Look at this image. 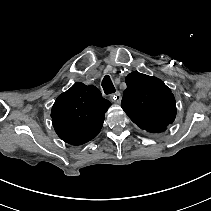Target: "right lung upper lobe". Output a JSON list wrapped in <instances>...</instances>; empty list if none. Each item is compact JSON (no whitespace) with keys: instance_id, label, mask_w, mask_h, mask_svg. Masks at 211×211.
Listing matches in <instances>:
<instances>
[{"instance_id":"cb5924a9","label":"right lung upper lobe","mask_w":211,"mask_h":211,"mask_svg":"<svg viewBox=\"0 0 211 211\" xmlns=\"http://www.w3.org/2000/svg\"><path fill=\"white\" fill-rule=\"evenodd\" d=\"M110 106L98 88L77 82L59 95L52 107L54 129L66 143L84 144L98 135Z\"/></svg>"}]
</instances>
